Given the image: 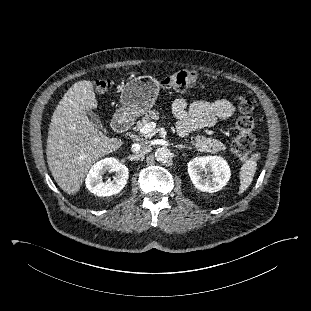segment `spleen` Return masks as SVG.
<instances>
[{
	"mask_svg": "<svg viewBox=\"0 0 311 311\" xmlns=\"http://www.w3.org/2000/svg\"><path fill=\"white\" fill-rule=\"evenodd\" d=\"M256 166V160L253 158L246 160V162L242 165L240 171L239 194H242L250 186L256 172Z\"/></svg>",
	"mask_w": 311,
	"mask_h": 311,
	"instance_id": "1",
	"label": "spleen"
}]
</instances>
